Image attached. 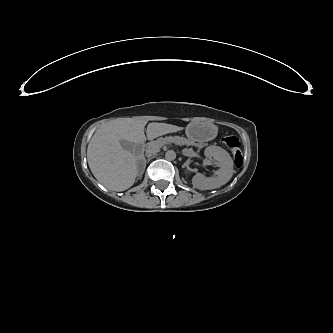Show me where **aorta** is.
Segmentation results:
<instances>
[{
    "label": "aorta",
    "instance_id": "762f6f07",
    "mask_svg": "<svg viewBox=\"0 0 333 333\" xmlns=\"http://www.w3.org/2000/svg\"><path fill=\"white\" fill-rule=\"evenodd\" d=\"M176 158V152L174 150H168L165 153V159L168 161H173Z\"/></svg>",
    "mask_w": 333,
    "mask_h": 333
}]
</instances>
